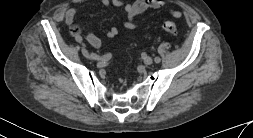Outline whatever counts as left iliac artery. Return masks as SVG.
I'll list each match as a JSON object with an SVG mask.
<instances>
[{"instance_id":"left-iliac-artery-1","label":"left iliac artery","mask_w":253,"mask_h":138,"mask_svg":"<svg viewBox=\"0 0 253 138\" xmlns=\"http://www.w3.org/2000/svg\"><path fill=\"white\" fill-rule=\"evenodd\" d=\"M154 61H155L156 63H160L161 59H160V57L157 56V57L154 58Z\"/></svg>"}]
</instances>
